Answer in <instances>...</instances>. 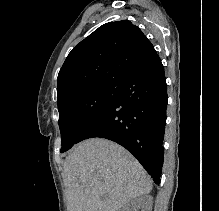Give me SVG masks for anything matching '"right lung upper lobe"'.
Masks as SVG:
<instances>
[{"label": "right lung upper lobe", "mask_w": 219, "mask_h": 211, "mask_svg": "<svg viewBox=\"0 0 219 211\" xmlns=\"http://www.w3.org/2000/svg\"><path fill=\"white\" fill-rule=\"evenodd\" d=\"M159 56L128 20L109 22L78 43L58 74V102L97 85H118Z\"/></svg>", "instance_id": "1"}]
</instances>
